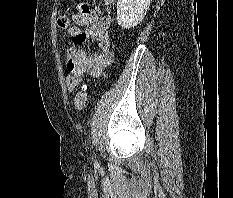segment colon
<instances>
[{
    "mask_svg": "<svg viewBox=\"0 0 233 198\" xmlns=\"http://www.w3.org/2000/svg\"><path fill=\"white\" fill-rule=\"evenodd\" d=\"M57 24L61 29H66L70 25V19L66 15H62L58 18ZM87 104V92L83 87L78 91L74 98V106L77 110H83Z\"/></svg>",
    "mask_w": 233,
    "mask_h": 198,
    "instance_id": "colon-1",
    "label": "colon"
}]
</instances>
